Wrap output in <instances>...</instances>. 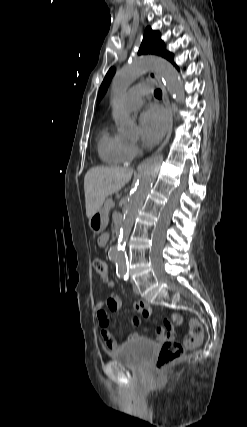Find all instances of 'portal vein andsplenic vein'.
Segmentation results:
<instances>
[{"label":"portal vein and splenic vein","mask_w":247,"mask_h":427,"mask_svg":"<svg viewBox=\"0 0 247 427\" xmlns=\"http://www.w3.org/2000/svg\"><path fill=\"white\" fill-rule=\"evenodd\" d=\"M112 205L114 206V205H115V203L113 202V203H112Z\"/></svg>","instance_id":"18ae733b"}]
</instances>
